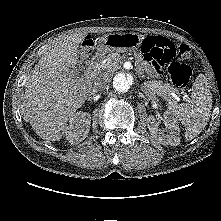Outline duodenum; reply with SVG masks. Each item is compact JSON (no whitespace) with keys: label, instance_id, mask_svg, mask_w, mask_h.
Instances as JSON below:
<instances>
[{"label":"duodenum","instance_id":"1","mask_svg":"<svg viewBox=\"0 0 221 221\" xmlns=\"http://www.w3.org/2000/svg\"><path fill=\"white\" fill-rule=\"evenodd\" d=\"M101 54H96L92 59L88 60L86 64V72L89 76H94L97 71L98 60L100 59Z\"/></svg>","mask_w":221,"mask_h":221}]
</instances>
